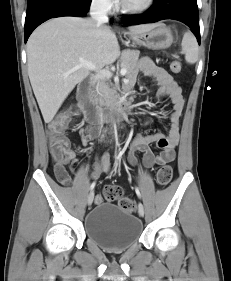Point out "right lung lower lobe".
Wrapping results in <instances>:
<instances>
[{"mask_svg":"<svg viewBox=\"0 0 231 281\" xmlns=\"http://www.w3.org/2000/svg\"><path fill=\"white\" fill-rule=\"evenodd\" d=\"M91 0H28L24 26L25 42L33 30L50 18L61 16L83 17Z\"/></svg>","mask_w":231,"mask_h":281,"instance_id":"1","label":"right lung lower lobe"}]
</instances>
